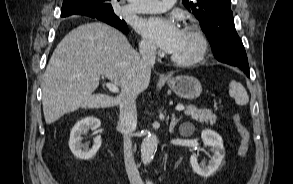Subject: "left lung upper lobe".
Listing matches in <instances>:
<instances>
[{"mask_svg":"<svg viewBox=\"0 0 293 184\" xmlns=\"http://www.w3.org/2000/svg\"><path fill=\"white\" fill-rule=\"evenodd\" d=\"M183 4L200 21L214 56L222 55L220 47L227 37L238 36L230 8L231 0H183Z\"/></svg>","mask_w":293,"mask_h":184,"instance_id":"1","label":"left lung upper lobe"}]
</instances>
